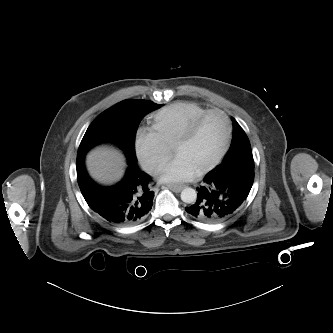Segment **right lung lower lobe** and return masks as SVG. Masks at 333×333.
<instances>
[{"instance_id": "1", "label": "right lung lower lobe", "mask_w": 333, "mask_h": 333, "mask_svg": "<svg viewBox=\"0 0 333 333\" xmlns=\"http://www.w3.org/2000/svg\"><path fill=\"white\" fill-rule=\"evenodd\" d=\"M83 155H77V181L89 207L108 222L120 226L143 220L153 205L151 177L141 171L137 161L128 160L125 176L114 186L95 183L87 174Z\"/></svg>"}]
</instances>
